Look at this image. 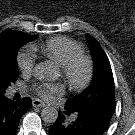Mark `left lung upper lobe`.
I'll list each match as a JSON object with an SVG mask.
<instances>
[{
  "label": "left lung upper lobe",
  "mask_w": 135,
  "mask_h": 135,
  "mask_svg": "<svg viewBox=\"0 0 135 135\" xmlns=\"http://www.w3.org/2000/svg\"><path fill=\"white\" fill-rule=\"evenodd\" d=\"M88 41L94 61L93 80L87 89L69 99L65 106L73 110L106 108L114 112V79L109 60L93 37L88 36Z\"/></svg>",
  "instance_id": "left-lung-upper-lobe-1"
}]
</instances>
